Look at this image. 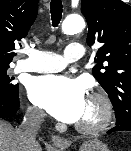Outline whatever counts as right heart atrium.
I'll use <instances>...</instances> for the list:
<instances>
[{"label": "right heart atrium", "instance_id": "1", "mask_svg": "<svg viewBox=\"0 0 131 151\" xmlns=\"http://www.w3.org/2000/svg\"><path fill=\"white\" fill-rule=\"evenodd\" d=\"M28 113H29L31 116H34V117L38 116L37 111H36L35 109H33V108H29V109H28Z\"/></svg>", "mask_w": 131, "mask_h": 151}]
</instances>
